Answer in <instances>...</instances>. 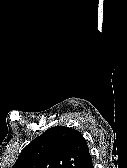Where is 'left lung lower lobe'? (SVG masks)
<instances>
[{"instance_id":"obj_1","label":"left lung lower lobe","mask_w":127,"mask_h":168,"mask_svg":"<svg viewBox=\"0 0 127 168\" xmlns=\"http://www.w3.org/2000/svg\"><path fill=\"white\" fill-rule=\"evenodd\" d=\"M80 168H93V164H92L91 155L89 153V150H87V152L84 156V159H83V163Z\"/></svg>"}]
</instances>
